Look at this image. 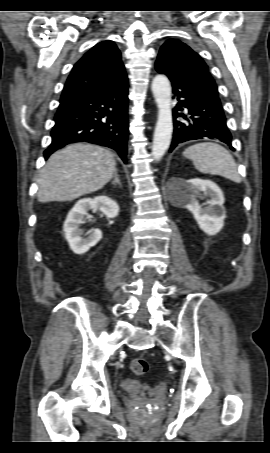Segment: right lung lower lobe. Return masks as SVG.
I'll return each mask as SVG.
<instances>
[{
	"mask_svg": "<svg viewBox=\"0 0 270 453\" xmlns=\"http://www.w3.org/2000/svg\"><path fill=\"white\" fill-rule=\"evenodd\" d=\"M51 136L45 159L67 144L85 141L116 150L126 163L127 76L102 92L61 99Z\"/></svg>",
	"mask_w": 270,
	"mask_h": 453,
	"instance_id": "obj_1",
	"label": "right lung lower lobe"
}]
</instances>
